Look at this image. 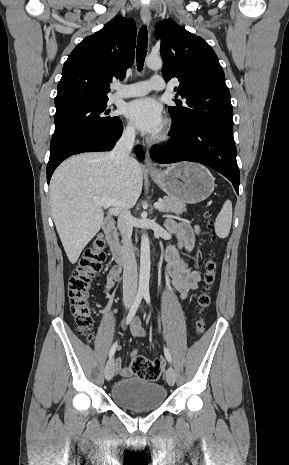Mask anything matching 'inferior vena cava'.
<instances>
[{"instance_id":"inferior-vena-cava-1","label":"inferior vena cava","mask_w":289,"mask_h":465,"mask_svg":"<svg viewBox=\"0 0 289 465\" xmlns=\"http://www.w3.org/2000/svg\"><path fill=\"white\" fill-rule=\"evenodd\" d=\"M135 141V130L130 127L124 130L117 141L110 157L114 160L118 169H124L130 159V153ZM132 215L129 210L122 209L118 215V228L123 243V298L124 301H132L137 293V262L132 245Z\"/></svg>"}]
</instances>
